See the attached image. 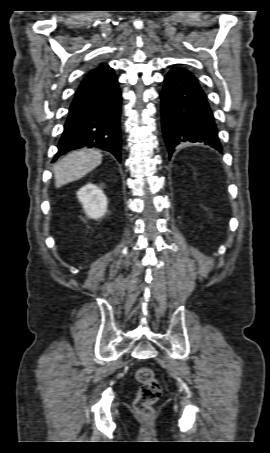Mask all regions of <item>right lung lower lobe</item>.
Wrapping results in <instances>:
<instances>
[{
  "instance_id": "1",
  "label": "right lung lower lobe",
  "mask_w": 270,
  "mask_h": 453,
  "mask_svg": "<svg viewBox=\"0 0 270 453\" xmlns=\"http://www.w3.org/2000/svg\"><path fill=\"white\" fill-rule=\"evenodd\" d=\"M121 99L117 77L109 66L82 81L71 103L53 162L60 155L82 147L108 151L121 161Z\"/></svg>"
}]
</instances>
